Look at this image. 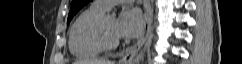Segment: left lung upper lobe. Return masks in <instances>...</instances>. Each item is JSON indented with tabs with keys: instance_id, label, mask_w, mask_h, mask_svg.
I'll return each mask as SVG.
<instances>
[{
	"instance_id": "5c2ea615",
	"label": "left lung upper lobe",
	"mask_w": 242,
	"mask_h": 64,
	"mask_svg": "<svg viewBox=\"0 0 242 64\" xmlns=\"http://www.w3.org/2000/svg\"><path fill=\"white\" fill-rule=\"evenodd\" d=\"M91 0H72L70 6V12L67 19V24L72 20L74 15L86 4H88Z\"/></svg>"
}]
</instances>
